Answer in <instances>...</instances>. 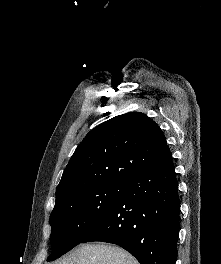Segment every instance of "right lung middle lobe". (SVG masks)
<instances>
[{
	"label": "right lung middle lobe",
	"mask_w": 221,
	"mask_h": 264,
	"mask_svg": "<svg viewBox=\"0 0 221 264\" xmlns=\"http://www.w3.org/2000/svg\"><path fill=\"white\" fill-rule=\"evenodd\" d=\"M125 182H107L77 192L55 205L50 224L53 261L80 244L117 203Z\"/></svg>",
	"instance_id": "obj_1"
}]
</instances>
